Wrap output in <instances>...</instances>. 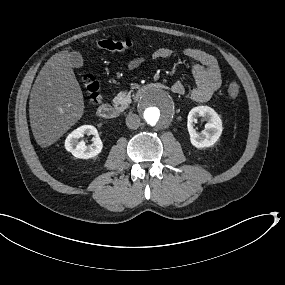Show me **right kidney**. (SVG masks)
<instances>
[{
  "label": "right kidney",
  "instance_id": "ca27d5eb",
  "mask_svg": "<svg viewBox=\"0 0 285 285\" xmlns=\"http://www.w3.org/2000/svg\"><path fill=\"white\" fill-rule=\"evenodd\" d=\"M84 134L94 135L92 138L93 143L91 145L86 146L84 141H79V138H82ZM65 148L76 158L88 159L97 156L101 152L103 144L98 135V131L94 126L83 125L67 136Z\"/></svg>",
  "mask_w": 285,
  "mask_h": 285
}]
</instances>
